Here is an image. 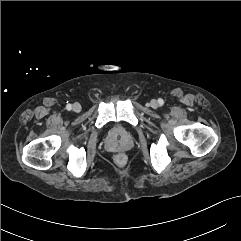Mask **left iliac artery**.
Here are the masks:
<instances>
[{
    "instance_id": "obj_1",
    "label": "left iliac artery",
    "mask_w": 241,
    "mask_h": 241,
    "mask_svg": "<svg viewBox=\"0 0 241 241\" xmlns=\"http://www.w3.org/2000/svg\"><path fill=\"white\" fill-rule=\"evenodd\" d=\"M158 102H159L160 105H163V104H164V101H163V99H161V98L158 100Z\"/></svg>"
}]
</instances>
